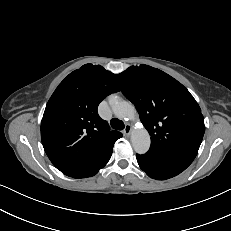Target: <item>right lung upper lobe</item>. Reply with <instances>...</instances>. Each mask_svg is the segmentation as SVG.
Returning <instances> with one entry per match:
<instances>
[{
	"mask_svg": "<svg viewBox=\"0 0 231 231\" xmlns=\"http://www.w3.org/2000/svg\"><path fill=\"white\" fill-rule=\"evenodd\" d=\"M120 91L116 76L102 66L85 64L70 73L49 99L41 121L44 150L54 166L72 176L112 150L122 137L110 131L97 108Z\"/></svg>",
	"mask_w": 231,
	"mask_h": 231,
	"instance_id": "cb5924a9",
	"label": "right lung upper lobe"
}]
</instances>
